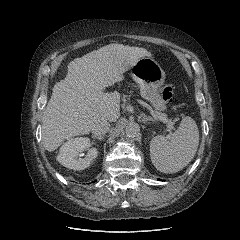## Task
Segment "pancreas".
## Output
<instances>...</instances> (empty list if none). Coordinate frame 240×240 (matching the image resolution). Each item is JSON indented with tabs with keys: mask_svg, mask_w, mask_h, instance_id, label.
Listing matches in <instances>:
<instances>
[{
	"mask_svg": "<svg viewBox=\"0 0 240 240\" xmlns=\"http://www.w3.org/2000/svg\"><path fill=\"white\" fill-rule=\"evenodd\" d=\"M157 116H158L159 119L166 118V115L163 114V113H158Z\"/></svg>",
	"mask_w": 240,
	"mask_h": 240,
	"instance_id": "1",
	"label": "pancreas"
}]
</instances>
